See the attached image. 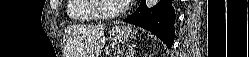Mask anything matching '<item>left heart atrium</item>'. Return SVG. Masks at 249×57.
I'll return each mask as SVG.
<instances>
[{
  "instance_id": "obj_1",
  "label": "left heart atrium",
  "mask_w": 249,
  "mask_h": 57,
  "mask_svg": "<svg viewBox=\"0 0 249 57\" xmlns=\"http://www.w3.org/2000/svg\"><path fill=\"white\" fill-rule=\"evenodd\" d=\"M132 0H122L123 3H129L131 2Z\"/></svg>"
}]
</instances>
